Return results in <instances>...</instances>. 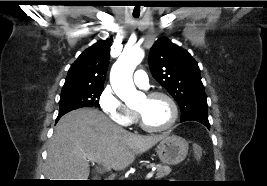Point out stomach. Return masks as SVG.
Here are the masks:
<instances>
[{
  "mask_svg": "<svg viewBox=\"0 0 267 186\" xmlns=\"http://www.w3.org/2000/svg\"><path fill=\"white\" fill-rule=\"evenodd\" d=\"M188 142L176 135H166L157 145V154L163 164L177 165L188 154Z\"/></svg>",
  "mask_w": 267,
  "mask_h": 186,
  "instance_id": "obj_1",
  "label": "stomach"
}]
</instances>
